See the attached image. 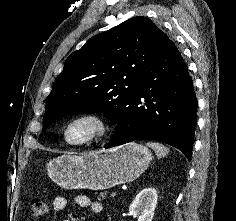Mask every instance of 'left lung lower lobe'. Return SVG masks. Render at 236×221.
Returning <instances> with one entry per match:
<instances>
[{"instance_id": "1", "label": "left lung lower lobe", "mask_w": 236, "mask_h": 221, "mask_svg": "<svg viewBox=\"0 0 236 221\" xmlns=\"http://www.w3.org/2000/svg\"><path fill=\"white\" fill-rule=\"evenodd\" d=\"M141 98H144V105ZM197 99L193 81L175 44L165 39L139 77L105 148L133 140L160 141L190 159L194 143Z\"/></svg>"}]
</instances>
